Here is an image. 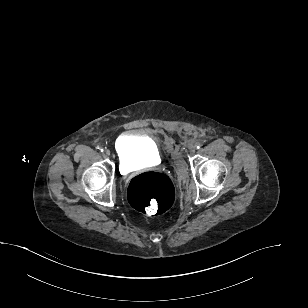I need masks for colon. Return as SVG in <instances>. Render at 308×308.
<instances>
[{"instance_id": "colon-1", "label": "colon", "mask_w": 308, "mask_h": 308, "mask_svg": "<svg viewBox=\"0 0 308 308\" xmlns=\"http://www.w3.org/2000/svg\"><path fill=\"white\" fill-rule=\"evenodd\" d=\"M128 198L138 211L162 216L170 211L175 201V188L171 179L160 172H144L128 186Z\"/></svg>"}]
</instances>
